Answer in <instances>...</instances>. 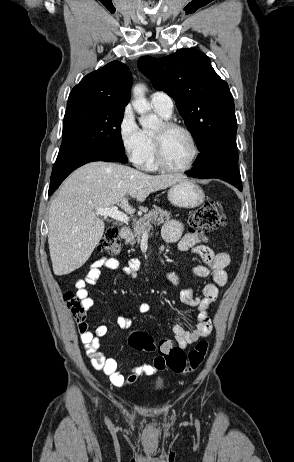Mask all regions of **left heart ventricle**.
I'll use <instances>...</instances> for the list:
<instances>
[{
    "label": "left heart ventricle",
    "mask_w": 294,
    "mask_h": 462,
    "mask_svg": "<svg viewBox=\"0 0 294 462\" xmlns=\"http://www.w3.org/2000/svg\"><path fill=\"white\" fill-rule=\"evenodd\" d=\"M160 126L156 132H160ZM193 154L191 140L186 133L174 130L165 134L164 155L166 162L172 167H183L188 164Z\"/></svg>",
    "instance_id": "1"
}]
</instances>
